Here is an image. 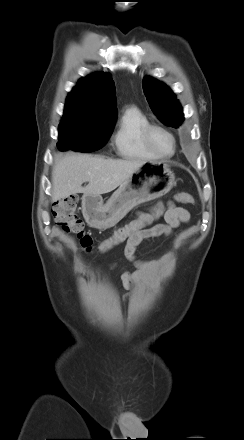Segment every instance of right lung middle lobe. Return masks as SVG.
Wrapping results in <instances>:
<instances>
[{"instance_id":"1","label":"right lung middle lobe","mask_w":244,"mask_h":440,"mask_svg":"<svg viewBox=\"0 0 244 440\" xmlns=\"http://www.w3.org/2000/svg\"><path fill=\"white\" fill-rule=\"evenodd\" d=\"M114 123L101 124L68 120L60 123L57 148L79 152H92L102 148L112 133Z\"/></svg>"}]
</instances>
